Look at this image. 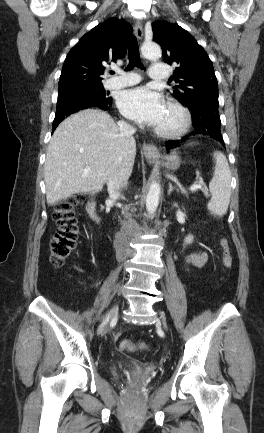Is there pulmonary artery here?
Masks as SVG:
<instances>
[{"instance_id": "pulmonary-artery-1", "label": "pulmonary artery", "mask_w": 264, "mask_h": 433, "mask_svg": "<svg viewBox=\"0 0 264 433\" xmlns=\"http://www.w3.org/2000/svg\"><path fill=\"white\" fill-rule=\"evenodd\" d=\"M149 77L152 80H164L168 77V69L164 65L153 64ZM139 81L140 78L136 73L119 71V75L107 80L105 85L109 89H118L134 85Z\"/></svg>"}]
</instances>
